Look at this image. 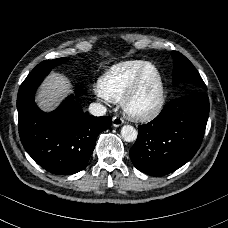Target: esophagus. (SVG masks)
Segmentation results:
<instances>
[{"mask_svg":"<svg viewBox=\"0 0 228 228\" xmlns=\"http://www.w3.org/2000/svg\"><path fill=\"white\" fill-rule=\"evenodd\" d=\"M112 121H113V126L114 127H120V126H122L124 124L123 119H121L118 116L113 117Z\"/></svg>","mask_w":228,"mask_h":228,"instance_id":"esophagus-1","label":"esophagus"}]
</instances>
